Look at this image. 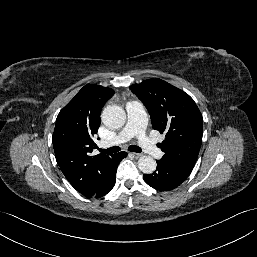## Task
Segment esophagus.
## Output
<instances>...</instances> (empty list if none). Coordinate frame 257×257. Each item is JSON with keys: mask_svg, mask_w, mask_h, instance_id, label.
<instances>
[{"mask_svg": "<svg viewBox=\"0 0 257 257\" xmlns=\"http://www.w3.org/2000/svg\"><path fill=\"white\" fill-rule=\"evenodd\" d=\"M134 158H136V159H138V158H140L141 156H142V154H140V153H134V152H132V153H130Z\"/></svg>", "mask_w": 257, "mask_h": 257, "instance_id": "esophagus-1", "label": "esophagus"}]
</instances>
